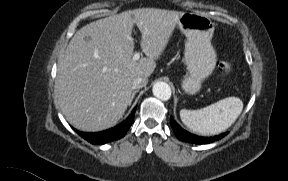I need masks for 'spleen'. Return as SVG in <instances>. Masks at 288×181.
Listing matches in <instances>:
<instances>
[{
    "mask_svg": "<svg viewBox=\"0 0 288 181\" xmlns=\"http://www.w3.org/2000/svg\"><path fill=\"white\" fill-rule=\"evenodd\" d=\"M243 102L237 97H228L198 110L182 109L180 118L193 132L209 136L228 129L239 117Z\"/></svg>",
    "mask_w": 288,
    "mask_h": 181,
    "instance_id": "obj_1",
    "label": "spleen"
}]
</instances>
